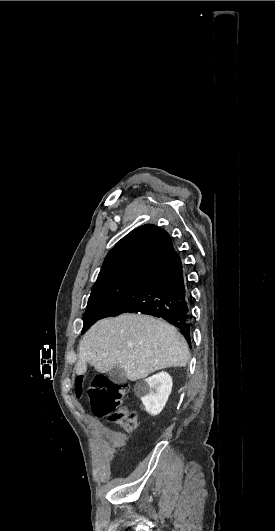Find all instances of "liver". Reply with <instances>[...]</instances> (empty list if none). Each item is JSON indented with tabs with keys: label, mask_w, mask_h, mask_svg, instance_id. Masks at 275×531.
Masks as SVG:
<instances>
[{
	"label": "liver",
	"mask_w": 275,
	"mask_h": 531,
	"mask_svg": "<svg viewBox=\"0 0 275 531\" xmlns=\"http://www.w3.org/2000/svg\"><path fill=\"white\" fill-rule=\"evenodd\" d=\"M188 345L175 327L149 315L103 319L85 333L79 345L77 375L87 363L99 373L120 367L129 381L145 379L166 367H186Z\"/></svg>",
	"instance_id": "liver-1"
}]
</instances>
